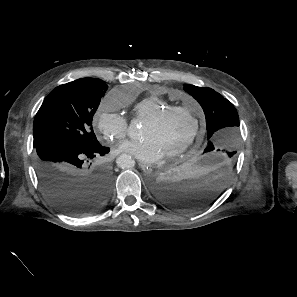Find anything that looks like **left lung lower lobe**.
Listing matches in <instances>:
<instances>
[{
  "mask_svg": "<svg viewBox=\"0 0 297 297\" xmlns=\"http://www.w3.org/2000/svg\"><path fill=\"white\" fill-rule=\"evenodd\" d=\"M235 165L221 154L204 152L160 174L153 183L156 197L183 212L199 211L213 204L229 184Z\"/></svg>",
  "mask_w": 297,
  "mask_h": 297,
  "instance_id": "0a47b994",
  "label": "left lung lower lobe"
}]
</instances>
